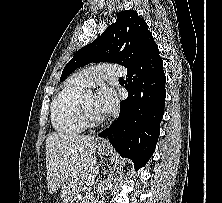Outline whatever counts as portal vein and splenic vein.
<instances>
[{
    "instance_id": "1",
    "label": "portal vein and splenic vein",
    "mask_w": 222,
    "mask_h": 203,
    "mask_svg": "<svg viewBox=\"0 0 222 203\" xmlns=\"http://www.w3.org/2000/svg\"><path fill=\"white\" fill-rule=\"evenodd\" d=\"M91 182H93V179L91 180V179H89V182H88V184H90Z\"/></svg>"
}]
</instances>
